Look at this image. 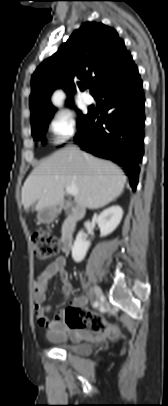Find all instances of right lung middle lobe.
Masks as SVG:
<instances>
[{
  "mask_svg": "<svg viewBox=\"0 0 168 406\" xmlns=\"http://www.w3.org/2000/svg\"><path fill=\"white\" fill-rule=\"evenodd\" d=\"M78 112H79L78 124H79V129H80L83 126V124L86 122V120L89 118L90 111L88 112L87 115L81 114L80 111H78ZM51 116L52 115L47 116L40 121L32 123V135H33L35 141H37L39 138H44V135L46 133L47 126H48Z\"/></svg>",
  "mask_w": 168,
  "mask_h": 406,
  "instance_id": "dd1d6c3e",
  "label": "right lung middle lobe"
}]
</instances>
